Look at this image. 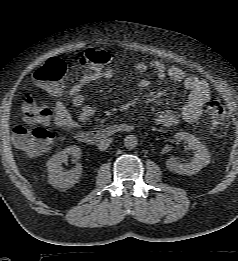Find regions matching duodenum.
I'll use <instances>...</instances> for the list:
<instances>
[{"label":"duodenum","instance_id":"obj_1","mask_svg":"<svg viewBox=\"0 0 238 261\" xmlns=\"http://www.w3.org/2000/svg\"><path fill=\"white\" fill-rule=\"evenodd\" d=\"M133 130V126L128 123L109 125L96 131H79L75 134L78 142L86 145H96L118 133H128Z\"/></svg>","mask_w":238,"mask_h":261}]
</instances>
